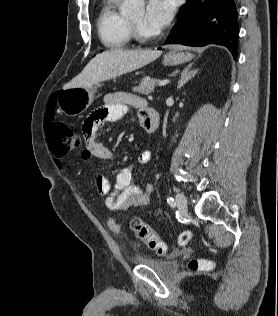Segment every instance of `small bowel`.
Wrapping results in <instances>:
<instances>
[{
  "label": "small bowel",
  "instance_id": "obj_1",
  "mask_svg": "<svg viewBox=\"0 0 278 316\" xmlns=\"http://www.w3.org/2000/svg\"><path fill=\"white\" fill-rule=\"evenodd\" d=\"M133 106L146 110V103L140 97L129 93H111L105 96L104 104L92 112L82 124V132L85 139V148L81 157L85 161L94 159L110 160L115 157V153L97 140L99 128L105 122H114L120 120ZM152 153L150 150H144L137 158L138 164H146L150 161ZM95 184L99 193L106 197V205L112 211L127 210L130 207L147 206L151 201L153 186L146 184L143 188L132 183V168L124 167L120 170L113 185L98 173L95 178ZM109 230L119 235L121 226L114 217L107 220Z\"/></svg>",
  "mask_w": 278,
  "mask_h": 316
}]
</instances>
